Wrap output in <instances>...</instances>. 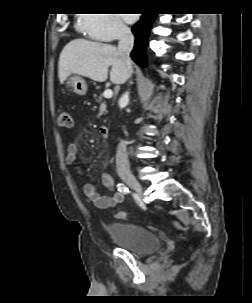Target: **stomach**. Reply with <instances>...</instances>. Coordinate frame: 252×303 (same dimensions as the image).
Masks as SVG:
<instances>
[{
  "instance_id": "0dacf381",
  "label": "stomach",
  "mask_w": 252,
  "mask_h": 303,
  "mask_svg": "<svg viewBox=\"0 0 252 303\" xmlns=\"http://www.w3.org/2000/svg\"><path fill=\"white\" fill-rule=\"evenodd\" d=\"M66 86L71 87L78 95H85L87 92L86 81L77 75L70 76L66 81Z\"/></svg>"
}]
</instances>
